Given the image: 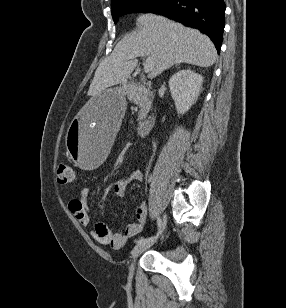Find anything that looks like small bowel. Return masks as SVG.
I'll use <instances>...</instances> for the list:
<instances>
[{
    "instance_id": "c3829d8e",
    "label": "small bowel",
    "mask_w": 286,
    "mask_h": 308,
    "mask_svg": "<svg viewBox=\"0 0 286 308\" xmlns=\"http://www.w3.org/2000/svg\"><path fill=\"white\" fill-rule=\"evenodd\" d=\"M143 180V174L139 169H135L132 172L124 175L111 186L113 193L121 197L124 195L127 184L131 181L141 182ZM89 190L83 188L80 191L78 197L73 198L68 203V208L73 216L82 226H88L90 224V217L87 211L86 198ZM135 216L138 222L129 223L126 225L125 230L120 233L113 232L110 227L99 222L95 225L94 230L91 232L92 237L102 245L110 246L114 249L122 248L128 239L139 234L147 219V209L144 204H141L135 211Z\"/></svg>"
}]
</instances>
